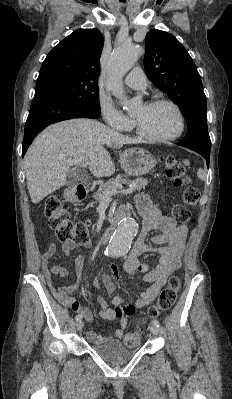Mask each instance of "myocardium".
Segmentation results:
<instances>
[{"label": "myocardium", "mask_w": 232, "mask_h": 399, "mask_svg": "<svg viewBox=\"0 0 232 399\" xmlns=\"http://www.w3.org/2000/svg\"><path fill=\"white\" fill-rule=\"evenodd\" d=\"M157 105H169L171 107H173L178 115L179 118V129L178 131L169 137H162V138H158V137H152L148 134H146L141 126L139 125V123L137 122L136 119H132V125L134 127L135 133L137 134V136L147 142L150 143H168V142H172L177 140L178 138H180L182 136V134L185 131V117H184V113L182 111V109L180 108V106L176 103H174L173 101L170 100H166V99H154V100H149L145 103L146 107H153V106H157Z\"/></svg>", "instance_id": "myocardium-1"}]
</instances>
